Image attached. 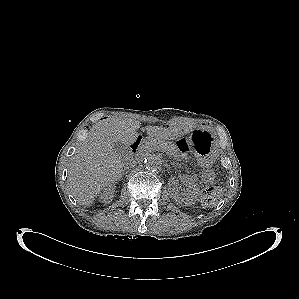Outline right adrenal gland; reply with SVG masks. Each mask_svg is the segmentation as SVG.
<instances>
[{
	"mask_svg": "<svg viewBox=\"0 0 299 299\" xmlns=\"http://www.w3.org/2000/svg\"><path fill=\"white\" fill-rule=\"evenodd\" d=\"M125 173H124V170H123V172L121 173V175H120V178H122V176L124 175Z\"/></svg>",
	"mask_w": 299,
	"mask_h": 299,
	"instance_id": "right-adrenal-gland-1",
	"label": "right adrenal gland"
}]
</instances>
